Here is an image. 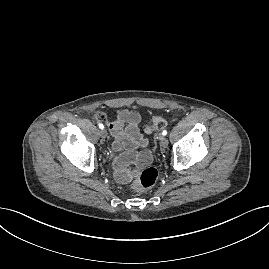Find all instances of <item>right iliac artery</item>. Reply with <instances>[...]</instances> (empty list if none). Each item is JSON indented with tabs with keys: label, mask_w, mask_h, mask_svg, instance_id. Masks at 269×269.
<instances>
[{
	"label": "right iliac artery",
	"mask_w": 269,
	"mask_h": 269,
	"mask_svg": "<svg viewBox=\"0 0 269 269\" xmlns=\"http://www.w3.org/2000/svg\"><path fill=\"white\" fill-rule=\"evenodd\" d=\"M98 126L100 129H104V125L102 123H99Z\"/></svg>",
	"instance_id": "obj_1"
}]
</instances>
